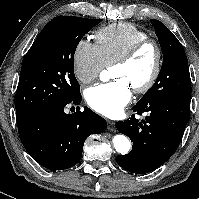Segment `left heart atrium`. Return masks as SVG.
Instances as JSON below:
<instances>
[{
	"label": "left heart atrium",
	"mask_w": 199,
	"mask_h": 199,
	"mask_svg": "<svg viewBox=\"0 0 199 199\" xmlns=\"http://www.w3.org/2000/svg\"><path fill=\"white\" fill-rule=\"evenodd\" d=\"M86 102L96 112L117 117L124 111L131 99L129 84L124 79H116L105 84H97L86 91Z\"/></svg>",
	"instance_id": "obj_1"
}]
</instances>
